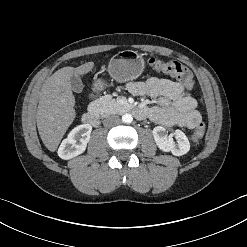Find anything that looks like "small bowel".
Instances as JSON below:
<instances>
[{"label": "small bowel", "instance_id": "1", "mask_svg": "<svg viewBox=\"0 0 247 247\" xmlns=\"http://www.w3.org/2000/svg\"><path fill=\"white\" fill-rule=\"evenodd\" d=\"M128 90L136 96L157 98V103L145 111L158 124L193 129L201 123L196 99L178 82L151 77L146 81L130 82Z\"/></svg>", "mask_w": 247, "mask_h": 247}]
</instances>
